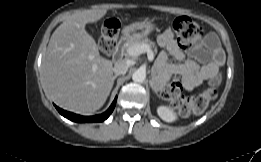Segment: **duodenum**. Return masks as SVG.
<instances>
[{
  "instance_id": "obj_1",
  "label": "duodenum",
  "mask_w": 261,
  "mask_h": 162,
  "mask_svg": "<svg viewBox=\"0 0 261 162\" xmlns=\"http://www.w3.org/2000/svg\"><path fill=\"white\" fill-rule=\"evenodd\" d=\"M127 41V38L125 36H122L119 40H118V43H117V49H121L124 44L126 43Z\"/></svg>"
}]
</instances>
